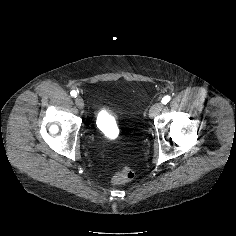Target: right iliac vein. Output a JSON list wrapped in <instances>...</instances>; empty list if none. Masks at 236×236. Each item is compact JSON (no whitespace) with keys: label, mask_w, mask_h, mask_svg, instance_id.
I'll use <instances>...</instances> for the list:
<instances>
[{"label":"right iliac vein","mask_w":236,"mask_h":236,"mask_svg":"<svg viewBox=\"0 0 236 236\" xmlns=\"http://www.w3.org/2000/svg\"><path fill=\"white\" fill-rule=\"evenodd\" d=\"M75 104L76 106L79 108V109H83L84 108V101L83 99L78 96L76 99H75Z\"/></svg>","instance_id":"obj_1"}]
</instances>
